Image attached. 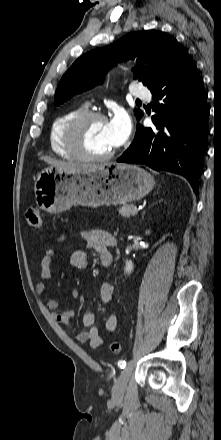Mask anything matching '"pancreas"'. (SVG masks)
I'll list each match as a JSON object with an SVG mask.
<instances>
[{
    "mask_svg": "<svg viewBox=\"0 0 221 440\" xmlns=\"http://www.w3.org/2000/svg\"><path fill=\"white\" fill-rule=\"evenodd\" d=\"M135 208L133 204L131 205H123L118 209V212L121 216L125 218H129L132 214V210Z\"/></svg>",
    "mask_w": 221,
    "mask_h": 440,
    "instance_id": "cf45deb5",
    "label": "pancreas"
}]
</instances>
